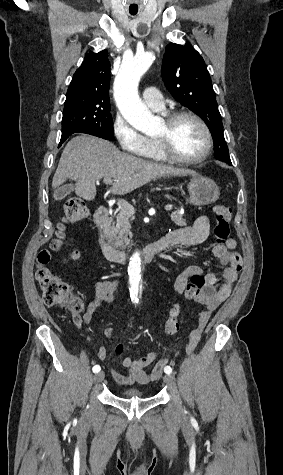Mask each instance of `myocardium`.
<instances>
[{
	"label": "myocardium",
	"mask_w": 283,
	"mask_h": 475,
	"mask_svg": "<svg viewBox=\"0 0 283 475\" xmlns=\"http://www.w3.org/2000/svg\"><path fill=\"white\" fill-rule=\"evenodd\" d=\"M184 117H189L194 119L203 129L205 133V148L204 150L197 156L190 157V158H181V157H175L171 156L166 152V146L169 145L170 140H169V135L172 133L173 127L175 123L180 120L181 118ZM166 136L164 138H155L157 142V148L159 155L164 162H196L200 163L203 160H205L212 152L213 148V142H212V134L210 131V128L206 124V122L197 114L191 112V111H174L172 113H169L166 116Z\"/></svg>",
	"instance_id": "obj_1"
}]
</instances>
